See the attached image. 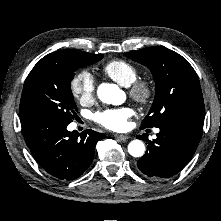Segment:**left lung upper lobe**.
<instances>
[{
	"instance_id": "obj_1",
	"label": "left lung upper lobe",
	"mask_w": 221,
	"mask_h": 221,
	"mask_svg": "<svg viewBox=\"0 0 221 221\" xmlns=\"http://www.w3.org/2000/svg\"><path fill=\"white\" fill-rule=\"evenodd\" d=\"M124 56L149 68L156 83L155 99L141 128L160 127L179 117L205 115L198 76L181 55L157 46L125 53Z\"/></svg>"
}]
</instances>
